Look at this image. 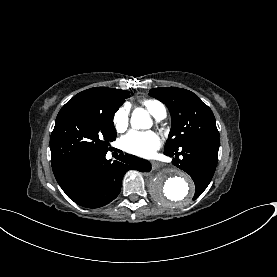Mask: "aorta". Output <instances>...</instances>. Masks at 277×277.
Here are the masks:
<instances>
[{
	"label": "aorta",
	"mask_w": 277,
	"mask_h": 277,
	"mask_svg": "<svg viewBox=\"0 0 277 277\" xmlns=\"http://www.w3.org/2000/svg\"><path fill=\"white\" fill-rule=\"evenodd\" d=\"M131 125L136 129L151 127L149 114L143 108H136L131 117ZM150 192L153 198L164 205H186L194 194L191 178L175 166L161 168L152 178Z\"/></svg>",
	"instance_id": "762f6f07"
}]
</instances>
